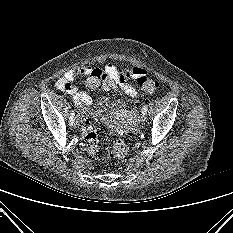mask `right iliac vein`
Listing matches in <instances>:
<instances>
[{
    "instance_id": "right-iliac-vein-1",
    "label": "right iliac vein",
    "mask_w": 233,
    "mask_h": 233,
    "mask_svg": "<svg viewBox=\"0 0 233 233\" xmlns=\"http://www.w3.org/2000/svg\"><path fill=\"white\" fill-rule=\"evenodd\" d=\"M79 125H80V115H78L75 120V127H79Z\"/></svg>"
}]
</instances>
